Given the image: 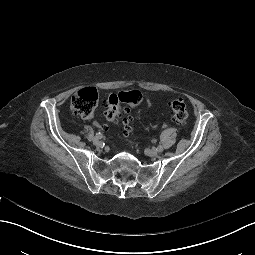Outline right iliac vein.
<instances>
[{"mask_svg":"<svg viewBox=\"0 0 255 255\" xmlns=\"http://www.w3.org/2000/svg\"><path fill=\"white\" fill-rule=\"evenodd\" d=\"M93 143H94V145H96V146H99V145L101 144V142H100V140H99L98 137H95V138L93 139Z\"/></svg>","mask_w":255,"mask_h":255,"instance_id":"right-iliac-vein-1","label":"right iliac vein"}]
</instances>
